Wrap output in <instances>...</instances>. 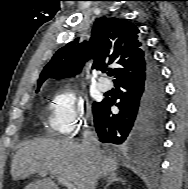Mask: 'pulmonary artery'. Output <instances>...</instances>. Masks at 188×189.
Returning <instances> with one entry per match:
<instances>
[{"instance_id":"pulmonary-artery-1","label":"pulmonary artery","mask_w":188,"mask_h":189,"mask_svg":"<svg viewBox=\"0 0 188 189\" xmlns=\"http://www.w3.org/2000/svg\"><path fill=\"white\" fill-rule=\"evenodd\" d=\"M97 87L100 91L106 92L111 88V84L107 79H100L97 82Z\"/></svg>"}]
</instances>
